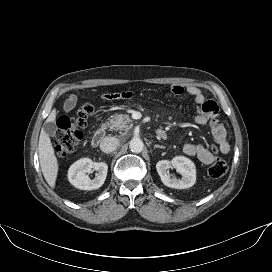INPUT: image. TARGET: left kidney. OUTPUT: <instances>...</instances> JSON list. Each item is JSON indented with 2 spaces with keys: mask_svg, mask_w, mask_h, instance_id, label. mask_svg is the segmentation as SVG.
Returning <instances> with one entry per match:
<instances>
[{
  "mask_svg": "<svg viewBox=\"0 0 272 272\" xmlns=\"http://www.w3.org/2000/svg\"><path fill=\"white\" fill-rule=\"evenodd\" d=\"M175 168L181 174V179L169 175L168 169ZM156 170L164 185L175 189H186L192 187L196 182L195 164L184 156H176L171 161L161 160L156 164Z\"/></svg>",
  "mask_w": 272,
  "mask_h": 272,
  "instance_id": "obj_1",
  "label": "left kidney"
}]
</instances>
